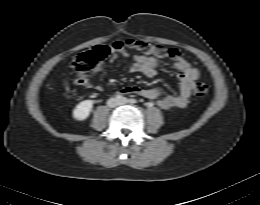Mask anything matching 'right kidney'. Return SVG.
I'll use <instances>...</instances> for the list:
<instances>
[{"label":"right kidney","instance_id":"right-kidney-1","mask_svg":"<svg viewBox=\"0 0 260 205\" xmlns=\"http://www.w3.org/2000/svg\"><path fill=\"white\" fill-rule=\"evenodd\" d=\"M93 101L84 100L76 105L73 110V118L77 121H84L92 111Z\"/></svg>","mask_w":260,"mask_h":205}]
</instances>
